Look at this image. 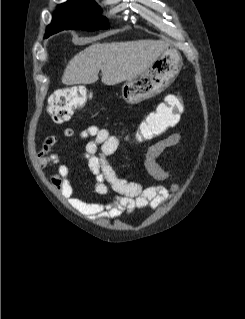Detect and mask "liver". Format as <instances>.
<instances>
[{
    "mask_svg": "<svg viewBox=\"0 0 245 319\" xmlns=\"http://www.w3.org/2000/svg\"><path fill=\"white\" fill-rule=\"evenodd\" d=\"M168 46L164 41L150 39L92 44L69 61L62 83L92 84L101 70L102 83L119 84L144 72Z\"/></svg>",
    "mask_w": 245,
    "mask_h": 319,
    "instance_id": "6515ba94",
    "label": "liver"
}]
</instances>
